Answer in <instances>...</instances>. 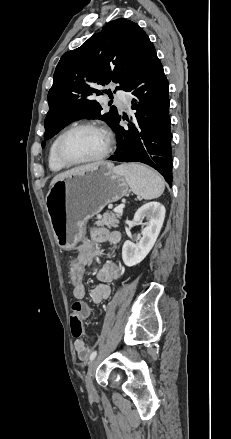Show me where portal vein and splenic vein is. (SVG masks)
Wrapping results in <instances>:
<instances>
[{
	"label": "portal vein and splenic vein",
	"instance_id": "obj_1",
	"mask_svg": "<svg viewBox=\"0 0 231 439\" xmlns=\"http://www.w3.org/2000/svg\"><path fill=\"white\" fill-rule=\"evenodd\" d=\"M124 204H122V205H120V206H118V207H116V208H114V212L115 213H120V214H122L123 213V208H124Z\"/></svg>",
	"mask_w": 231,
	"mask_h": 439
}]
</instances>
